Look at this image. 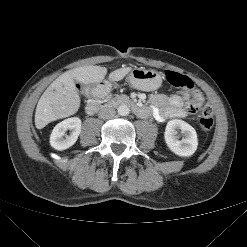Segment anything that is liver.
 <instances>
[{
	"mask_svg": "<svg viewBox=\"0 0 247 247\" xmlns=\"http://www.w3.org/2000/svg\"><path fill=\"white\" fill-rule=\"evenodd\" d=\"M131 67L114 70L109 74L111 81L122 80ZM107 74V68L101 66H83L71 69L55 81L45 90L40 97L35 111V126L44 128L47 124L75 114L80 107V96L75 82L88 85L101 82Z\"/></svg>",
	"mask_w": 247,
	"mask_h": 247,
	"instance_id": "obj_1",
	"label": "liver"
}]
</instances>
